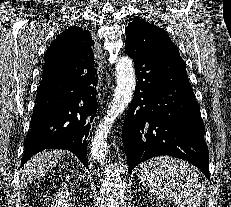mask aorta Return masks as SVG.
Masks as SVG:
<instances>
[{"instance_id": "762f6f07", "label": "aorta", "mask_w": 231, "mask_h": 207, "mask_svg": "<svg viewBox=\"0 0 231 207\" xmlns=\"http://www.w3.org/2000/svg\"><path fill=\"white\" fill-rule=\"evenodd\" d=\"M116 78L117 86L110 109L104 121L99 124L92 139L91 156L101 165L106 164V139L110 127L132 101L136 86V76L131 58L123 56L118 59L116 64Z\"/></svg>"}]
</instances>
